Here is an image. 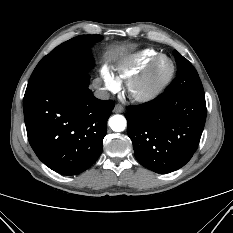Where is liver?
<instances>
[{"label":"liver","instance_id":"1","mask_svg":"<svg viewBox=\"0 0 233 233\" xmlns=\"http://www.w3.org/2000/svg\"><path fill=\"white\" fill-rule=\"evenodd\" d=\"M117 54H118V51H114V50L108 52L109 56H116Z\"/></svg>","mask_w":233,"mask_h":233}]
</instances>
